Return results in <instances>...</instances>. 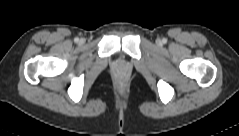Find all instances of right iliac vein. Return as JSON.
Listing matches in <instances>:
<instances>
[{
    "label": "right iliac vein",
    "instance_id": "right-iliac-vein-1",
    "mask_svg": "<svg viewBox=\"0 0 239 136\" xmlns=\"http://www.w3.org/2000/svg\"><path fill=\"white\" fill-rule=\"evenodd\" d=\"M80 43H83L84 42V40L83 39H80V41H79Z\"/></svg>",
    "mask_w": 239,
    "mask_h": 136
}]
</instances>
